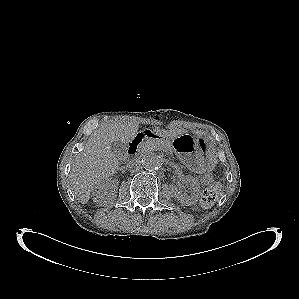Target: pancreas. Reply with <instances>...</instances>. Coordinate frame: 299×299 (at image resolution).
Returning <instances> with one entry per match:
<instances>
[{"label": "pancreas", "instance_id": "cf45deb5", "mask_svg": "<svg viewBox=\"0 0 299 299\" xmlns=\"http://www.w3.org/2000/svg\"><path fill=\"white\" fill-rule=\"evenodd\" d=\"M143 150L146 152L162 150L165 152H171L172 147L165 141L147 140L143 145Z\"/></svg>", "mask_w": 299, "mask_h": 299}]
</instances>
